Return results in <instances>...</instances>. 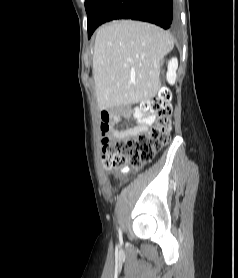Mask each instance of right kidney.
<instances>
[{
  "label": "right kidney",
  "instance_id": "1",
  "mask_svg": "<svg viewBox=\"0 0 238 278\" xmlns=\"http://www.w3.org/2000/svg\"><path fill=\"white\" fill-rule=\"evenodd\" d=\"M178 67L177 58H172L168 63L167 81L174 84L176 80V70Z\"/></svg>",
  "mask_w": 238,
  "mask_h": 278
}]
</instances>
